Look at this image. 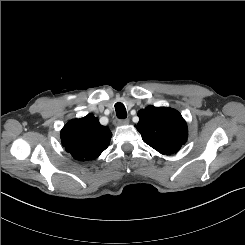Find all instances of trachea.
Wrapping results in <instances>:
<instances>
[{
  "label": "trachea",
  "mask_w": 245,
  "mask_h": 245,
  "mask_svg": "<svg viewBox=\"0 0 245 245\" xmlns=\"http://www.w3.org/2000/svg\"><path fill=\"white\" fill-rule=\"evenodd\" d=\"M115 111L118 118L123 119L127 117L126 108L122 103L118 102L115 104Z\"/></svg>",
  "instance_id": "obj_1"
}]
</instances>
